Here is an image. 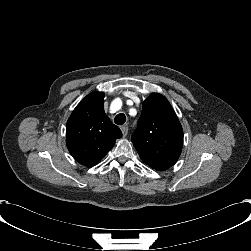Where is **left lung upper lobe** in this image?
Here are the masks:
<instances>
[{"instance_id":"obj_1","label":"left lung upper lobe","mask_w":251,"mask_h":251,"mask_svg":"<svg viewBox=\"0 0 251 251\" xmlns=\"http://www.w3.org/2000/svg\"><path fill=\"white\" fill-rule=\"evenodd\" d=\"M131 140L148 166L164 171L173 166L182 151L183 130L168 100L152 93L144 102Z\"/></svg>"}]
</instances>
